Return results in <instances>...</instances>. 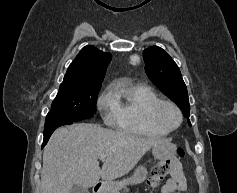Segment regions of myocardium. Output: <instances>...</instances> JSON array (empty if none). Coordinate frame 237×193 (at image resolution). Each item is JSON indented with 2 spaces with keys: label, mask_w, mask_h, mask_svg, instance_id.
I'll return each mask as SVG.
<instances>
[{
  "label": "myocardium",
  "mask_w": 237,
  "mask_h": 193,
  "mask_svg": "<svg viewBox=\"0 0 237 193\" xmlns=\"http://www.w3.org/2000/svg\"><path fill=\"white\" fill-rule=\"evenodd\" d=\"M165 107H170L177 114L178 122L176 123V125L169 126L162 120L161 113ZM148 118H149V121L151 124H153L154 126L160 128L168 133L178 129L183 121V115H182L180 108L172 101L161 100V99L158 100L157 102H155L150 107L149 112H148Z\"/></svg>",
  "instance_id": "obj_1"
}]
</instances>
